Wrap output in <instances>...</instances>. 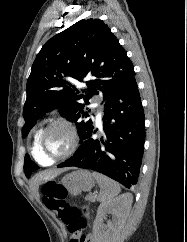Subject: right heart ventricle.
Here are the masks:
<instances>
[{
  "label": "right heart ventricle",
  "mask_w": 187,
  "mask_h": 242,
  "mask_svg": "<svg viewBox=\"0 0 187 242\" xmlns=\"http://www.w3.org/2000/svg\"><path fill=\"white\" fill-rule=\"evenodd\" d=\"M43 129H39L36 134L34 135V139H33V144H32V155L34 157V159L41 165L43 166H48L50 164H52L51 161H49L47 158H45L38 147V140H39V136L40 133Z\"/></svg>",
  "instance_id": "e07e8e85"
}]
</instances>
